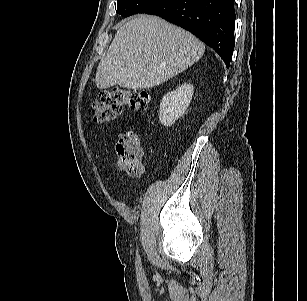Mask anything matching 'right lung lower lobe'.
<instances>
[{
  "instance_id": "obj_1",
  "label": "right lung lower lobe",
  "mask_w": 307,
  "mask_h": 301,
  "mask_svg": "<svg viewBox=\"0 0 307 301\" xmlns=\"http://www.w3.org/2000/svg\"><path fill=\"white\" fill-rule=\"evenodd\" d=\"M141 13L160 16L195 34L230 66L234 50V0H159Z\"/></svg>"
}]
</instances>
